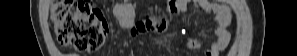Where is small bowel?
<instances>
[{
    "mask_svg": "<svg viewBox=\"0 0 297 56\" xmlns=\"http://www.w3.org/2000/svg\"><path fill=\"white\" fill-rule=\"evenodd\" d=\"M188 3L189 0H169L167 8L170 13L180 14L187 10ZM193 4L206 15L216 14L214 19L216 37L208 43L205 55L217 56L229 44L230 33L226 30V26L231 24L232 15L225 6L218 3H212L207 0H194ZM113 13L123 28L131 29L133 36L150 30L163 32L167 26L165 20L158 19L151 11L135 24V10L130 1L116 4L113 8ZM201 45L202 42L195 35L186 38L185 46L189 49H198Z\"/></svg>",
    "mask_w": 297,
    "mask_h": 56,
    "instance_id": "obj_1",
    "label": "small bowel"
}]
</instances>
